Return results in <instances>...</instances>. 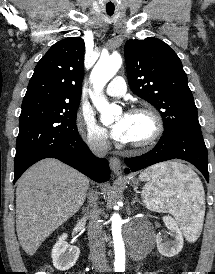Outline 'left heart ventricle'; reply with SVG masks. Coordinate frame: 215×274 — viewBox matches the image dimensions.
<instances>
[{"instance_id": "left-heart-ventricle-1", "label": "left heart ventricle", "mask_w": 215, "mask_h": 274, "mask_svg": "<svg viewBox=\"0 0 215 274\" xmlns=\"http://www.w3.org/2000/svg\"><path fill=\"white\" fill-rule=\"evenodd\" d=\"M153 130L151 119L145 114H129L127 142L142 141L150 136Z\"/></svg>"}]
</instances>
